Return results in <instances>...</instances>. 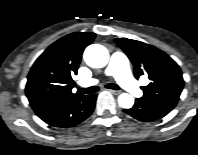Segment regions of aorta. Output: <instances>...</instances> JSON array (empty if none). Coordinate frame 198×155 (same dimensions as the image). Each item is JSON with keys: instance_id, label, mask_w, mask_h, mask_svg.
I'll use <instances>...</instances> for the list:
<instances>
[{"instance_id": "762f6f07", "label": "aorta", "mask_w": 198, "mask_h": 155, "mask_svg": "<svg viewBox=\"0 0 198 155\" xmlns=\"http://www.w3.org/2000/svg\"><path fill=\"white\" fill-rule=\"evenodd\" d=\"M83 57L86 64L90 67L102 68L109 61V52L100 44H91L85 49ZM118 104L124 109L132 108L134 97L128 93H122L118 97Z\"/></svg>"}]
</instances>
